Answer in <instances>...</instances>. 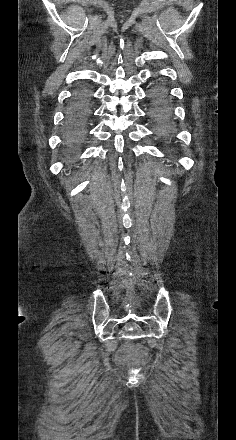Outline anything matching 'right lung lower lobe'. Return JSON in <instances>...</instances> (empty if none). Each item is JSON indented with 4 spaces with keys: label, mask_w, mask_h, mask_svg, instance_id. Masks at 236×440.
<instances>
[{
    "label": "right lung lower lobe",
    "mask_w": 236,
    "mask_h": 440,
    "mask_svg": "<svg viewBox=\"0 0 236 440\" xmlns=\"http://www.w3.org/2000/svg\"><path fill=\"white\" fill-rule=\"evenodd\" d=\"M81 105H82V99L78 95V92H76L71 100V106L66 114V120H65L66 127L78 123L79 121L78 112Z\"/></svg>",
    "instance_id": "obj_1"
}]
</instances>
